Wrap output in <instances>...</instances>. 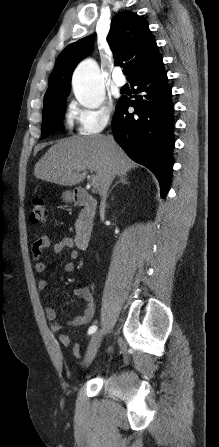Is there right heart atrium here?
Returning <instances> with one entry per match:
<instances>
[{"mask_svg":"<svg viewBox=\"0 0 219 447\" xmlns=\"http://www.w3.org/2000/svg\"><path fill=\"white\" fill-rule=\"evenodd\" d=\"M94 110H80L77 114L79 131L82 135L100 133L112 120L113 106L105 104L100 99Z\"/></svg>","mask_w":219,"mask_h":447,"instance_id":"1","label":"right heart atrium"}]
</instances>
